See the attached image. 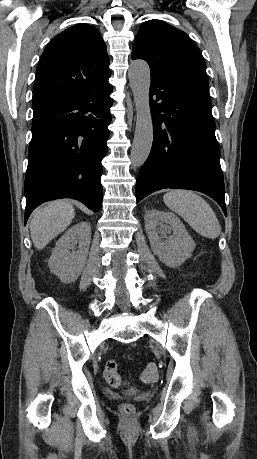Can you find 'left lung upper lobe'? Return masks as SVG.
Here are the masks:
<instances>
[{
    "instance_id": "obj_1",
    "label": "left lung upper lobe",
    "mask_w": 257,
    "mask_h": 459,
    "mask_svg": "<svg viewBox=\"0 0 257 459\" xmlns=\"http://www.w3.org/2000/svg\"><path fill=\"white\" fill-rule=\"evenodd\" d=\"M131 57L146 60L151 77L208 82L205 61L197 45L186 33L163 21L149 20L141 26Z\"/></svg>"
}]
</instances>
